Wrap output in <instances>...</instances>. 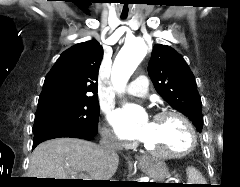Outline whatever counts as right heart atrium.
<instances>
[{"label":"right heart atrium","mask_w":240,"mask_h":187,"mask_svg":"<svg viewBox=\"0 0 240 187\" xmlns=\"http://www.w3.org/2000/svg\"><path fill=\"white\" fill-rule=\"evenodd\" d=\"M103 141L109 145L118 147L123 145L121 139L115 134V132L109 127H103L101 131Z\"/></svg>","instance_id":"obj_1"}]
</instances>
